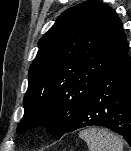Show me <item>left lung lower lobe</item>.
I'll return each instance as SVG.
<instances>
[{
	"label": "left lung lower lobe",
	"mask_w": 131,
	"mask_h": 151,
	"mask_svg": "<svg viewBox=\"0 0 131 151\" xmlns=\"http://www.w3.org/2000/svg\"><path fill=\"white\" fill-rule=\"evenodd\" d=\"M87 126L115 131L131 146V55L128 53L100 75L66 133Z\"/></svg>",
	"instance_id": "left-lung-lower-lobe-1"
}]
</instances>
